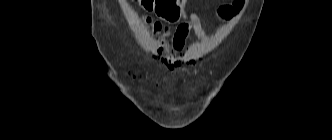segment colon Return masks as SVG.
<instances>
[{"label": "colon", "mask_w": 332, "mask_h": 140, "mask_svg": "<svg viewBox=\"0 0 332 140\" xmlns=\"http://www.w3.org/2000/svg\"><path fill=\"white\" fill-rule=\"evenodd\" d=\"M140 4L148 11L155 12L160 18L174 21L179 18L181 10V0H138ZM243 4V0H235L232 5H223L219 8L218 14L223 18L232 16ZM144 22L150 27L156 35H162L169 32L167 25L159 20H153L151 17H144Z\"/></svg>", "instance_id": "obj_1"}]
</instances>
